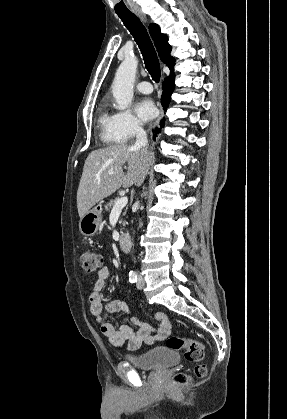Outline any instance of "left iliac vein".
Returning a JSON list of instances; mask_svg holds the SVG:
<instances>
[{
    "label": "left iliac vein",
    "mask_w": 287,
    "mask_h": 419,
    "mask_svg": "<svg viewBox=\"0 0 287 419\" xmlns=\"http://www.w3.org/2000/svg\"><path fill=\"white\" fill-rule=\"evenodd\" d=\"M143 286H144V279H143V277L140 276L139 279H138V282H137V288L142 289Z\"/></svg>",
    "instance_id": "4c4485c4"
}]
</instances>
